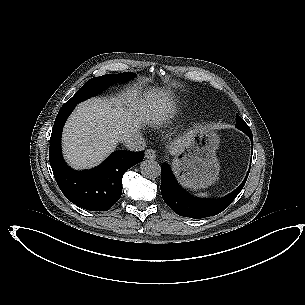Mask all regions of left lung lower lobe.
Segmentation results:
<instances>
[{
  "instance_id": "left-lung-lower-lobe-1",
  "label": "left lung lower lobe",
  "mask_w": 305,
  "mask_h": 305,
  "mask_svg": "<svg viewBox=\"0 0 305 305\" xmlns=\"http://www.w3.org/2000/svg\"><path fill=\"white\" fill-rule=\"evenodd\" d=\"M161 172L160 188L163 200L175 213L183 217L205 218L217 215L232 203L243 187L242 185L233 191L226 204L218 206L212 200L195 198L184 192L175 181L169 165L164 164Z\"/></svg>"
}]
</instances>
